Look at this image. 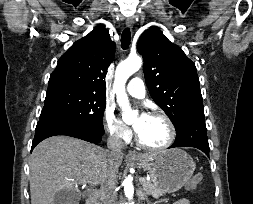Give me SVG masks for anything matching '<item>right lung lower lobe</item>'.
Here are the masks:
<instances>
[{
	"mask_svg": "<svg viewBox=\"0 0 253 204\" xmlns=\"http://www.w3.org/2000/svg\"><path fill=\"white\" fill-rule=\"evenodd\" d=\"M103 134L104 131L90 129L74 123L54 120H39L36 126L35 137L32 142L31 150H33V148L42 140L55 135H67L91 143H99L102 141Z\"/></svg>",
	"mask_w": 253,
	"mask_h": 204,
	"instance_id": "1",
	"label": "right lung lower lobe"
}]
</instances>
